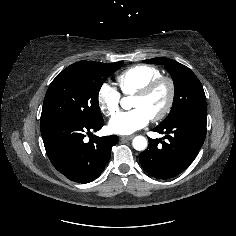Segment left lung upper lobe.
<instances>
[{
	"instance_id": "1",
	"label": "left lung upper lobe",
	"mask_w": 236,
	"mask_h": 236,
	"mask_svg": "<svg viewBox=\"0 0 236 236\" xmlns=\"http://www.w3.org/2000/svg\"><path fill=\"white\" fill-rule=\"evenodd\" d=\"M144 62L164 65L174 82L175 95L172 109L159 125L171 123L189 112L206 110V97L203 87L188 67L175 60L163 57L147 59Z\"/></svg>"
}]
</instances>
